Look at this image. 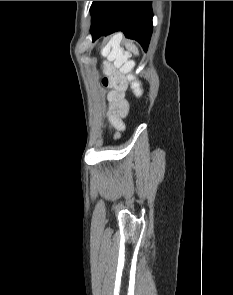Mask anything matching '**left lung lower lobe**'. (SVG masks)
<instances>
[{
    "instance_id": "obj_1",
    "label": "left lung lower lobe",
    "mask_w": 233,
    "mask_h": 295,
    "mask_svg": "<svg viewBox=\"0 0 233 295\" xmlns=\"http://www.w3.org/2000/svg\"><path fill=\"white\" fill-rule=\"evenodd\" d=\"M91 15L93 41L102 35L122 31L147 50L153 29L151 1H95Z\"/></svg>"
}]
</instances>
